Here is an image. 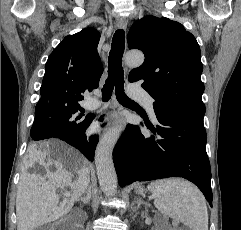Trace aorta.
Listing matches in <instances>:
<instances>
[{
	"label": "aorta",
	"instance_id": "762f6f07",
	"mask_svg": "<svg viewBox=\"0 0 241 230\" xmlns=\"http://www.w3.org/2000/svg\"><path fill=\"white\" fill-rule=\"evenodd\" d=\"M125 62L129 67H138L144 62V55L141 52H128ZM119 133V129L107 132L100 140L95 154L99 184L103 193L108 197L113 196L117 191V174L112 153Z\"/></svg>",
	"mask_w": 241,
	"mask_h": 230
}]
</instances>
